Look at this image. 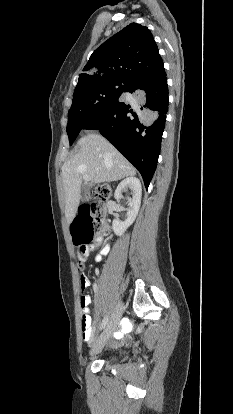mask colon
Here are the masks:
<instances>
[{
    "instance_id": "5ec220e1",
    "label": "colon",
    "mask_w": 233,
    "mask_h": 414,
    "mask_svg": "<svg viewBox=\"0 0 233 414\" xmlns=\"http://www.w3.org/2000/svg\"><path fill=\"white\" fill-rule=\"evenodd\" d=\"M111 196V188L107 184L98 185L91 192L92 202L79 209L71 227L73 242L80 249L90 245L104 229V202ZM79 271L85 269L84 261L78 262ZM81 286V284H80Z\"/></svg>"
}]
</instances>
